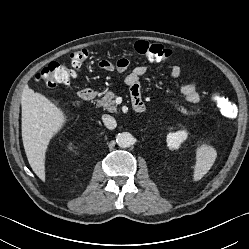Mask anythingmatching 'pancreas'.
<instances>
[{"instance_id": "1", "label": "pancreas", "mask_w": 249, "mask_h": 249, "mask_svg": "<svg viewBox=\"0 0 249 249\" xmlns=\"http://www.w3.org/2000/svg\"><path fill=\"white\" fill-rule=\"evenodd\" d=\"M115 93L108 91L101 100L97 101V106H103L105 110L110 112H117V107L115 106ZM178 110L181 111L183 114H188L187 110L183 107H178Z\"/></svg>"}]
</instances>
